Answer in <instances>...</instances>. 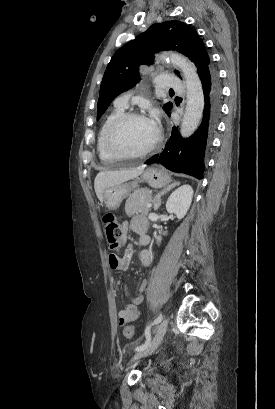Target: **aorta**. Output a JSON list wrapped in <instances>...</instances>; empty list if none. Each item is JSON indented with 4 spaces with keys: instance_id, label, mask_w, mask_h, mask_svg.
Returning <instances> with one entry per match:
<instances>
[{
    "instance_id": "1",
    "label": "aorta",
    "mask_w": 275,
    "mask_h": 409,
    "mask_svg": "<svg viewBox=\"0 0 275 409\" xmlns=\"http://www.w3.org/2000/svg\"><path fill=\"white\" fill-rule=\"evenodd\" d=\"M159 58H168L173 66L180 68L187 88V102L182 118L180 132L182 136H191L195 132L201 118L204 108V94L202 90L201 80L197 74V68L191 60H188L179 52H163Z\"/></svg>"
}]
</instances>
